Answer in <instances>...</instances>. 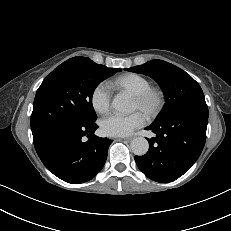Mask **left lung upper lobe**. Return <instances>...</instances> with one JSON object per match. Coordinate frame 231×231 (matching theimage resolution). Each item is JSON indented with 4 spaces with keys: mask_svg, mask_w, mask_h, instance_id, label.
<instances>
[{
    "mask_svg": "<svg viewBox=\"0 0 231 231\" xmlns=\"http://www.w3.org/2000/svg\"><path fill=\"white\" fill-rule=\"evenodd\" d=\"M125 70L150 76L163 90L165 105L153 123L161 122L184 108L206 104L199 84L173 64L155 59Z\"/></svg>",
    "mask_w": 231,
    "mask_h": 231,
    "instance_id": "1",
    "label": "left lung upper lobe"
}]
</instances>
